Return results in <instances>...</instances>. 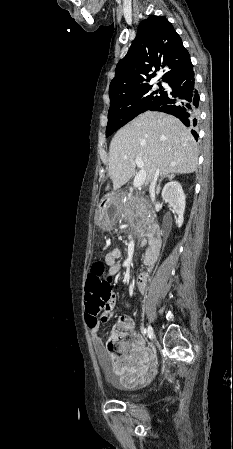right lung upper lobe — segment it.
<instances>
[{
	"instance_id": "cb5924a9",
	"label": "right lung upper lobe",
	"mask_w": 233,
	"mask_h": 449,
	"mask_svg": "<svg viewBox=\"0 0 233 449\" xmlns=\"http://www.w3.org/2000/svg\"><path fill=\"white\" fill-rule=\"evenodd\" d=\"M191 65L190 55L173 25L163 16H150L141 21L128 53L117 64L109 97L147 86L156 75L153 67L165 68L162 80L166 82Z\"/></svg>"
}]
</instances>
